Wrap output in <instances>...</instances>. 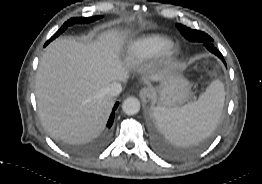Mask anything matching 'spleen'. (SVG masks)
I'll list each match as a JSON object with an SVG mask.
<instances>
[{
	"label": "spleen",
	"mask_w": 262,
	"mask_h": 184,
	"mask_svg": "<svg viewBox=\"0 0 262 184\" xmlns=\"http://www.w3.org/2000/svg\"><path fill=\"white\" fill-rule=\"evenodd\" d=\"M225 100L224 85L213 81L197 101L180 108L157 106L154 117L166 138L184 146L209 136L217 127Z\"/></svg>",
	"instance_id": "1"
}]
</instances>
